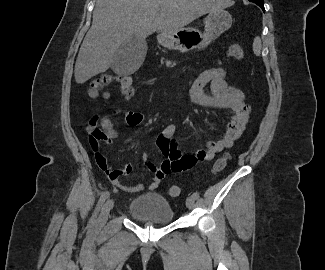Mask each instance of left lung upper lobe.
<instances>
[{
	"instance_id": "1",
	"label": "left lung upper lobe",
	"mask_w": 325,
	"mask_h": 270,
	"mask_svg": "<svg viewBox=\"0 0 325 270\" xmlns=\"http://www.w3.org/2000/svg\"><path fill=\"white\" fill-rule=\"evenodd\" d=\"M249 1H263V0H249Z\"/></svg>"
}]
</instances>
